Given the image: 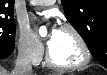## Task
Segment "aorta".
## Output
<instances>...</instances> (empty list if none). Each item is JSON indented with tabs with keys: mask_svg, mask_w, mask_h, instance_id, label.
Wrapping results in <instances>:
<instances>
[{
	"mask_svg": "<svg viewBox=\"0 0 107 75\" xmlns=\"http://www.w3.org/2000/svg\"><path fill=\"white\" fill-rule=\"evenodd\" d=\"M39 33H40L41 35L45 34V33H46V28H45V27H40Z\"/></svg>",
	"mask_w": 107,
	"mask_h": 75,
	"instance_id": "1",
	"label": "aorta"
}]
</instances>
